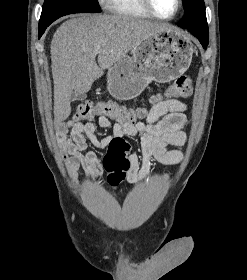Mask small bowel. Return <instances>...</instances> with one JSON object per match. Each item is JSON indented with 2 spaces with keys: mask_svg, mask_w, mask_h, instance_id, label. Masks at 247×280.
Returning <instances> with one entry per match:
<instances>
[{
  "mask_svg": "<svg viewBox=\"0 0 247 280\" xmlns=\"http://www.w3.org/2000/svg\"><path fill=\"white\" fill-rule=\"evenodd\" d=\"M186 104L169 99L151 107L144 122L128 124L116 121L112 123L107 116L98 118V126L110 131V134L100 138L97 127L93 122L81 123L65 121L58 125L57 136L63 150V159L75 184V173L82 168L88 178L96 180L104 172L101 160L94 151L88 150L91 144L95 148L104 149L114 139L138 137L140 139V153L131 151L128 154L130 168L129 182L135 184L146 180L151 171L152 159L162 164L174 165L179 163L183 154L180 150L167 149L168 145L183 146L186 141L184 127L187 125L185 114Z\"/></svg>",
  "mask_w": 247,
  "mask_h": 280,
  "instance_id": "1",
  "label": "small bowel"
}]
</instances>
